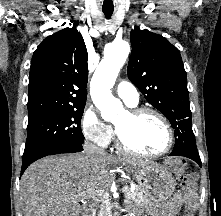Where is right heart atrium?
<instances>
[{"label": "right heart atrium", "mask_w": 221, "mask_h": 216, "mask_svg": "<svg viewBox=\"0 0 221 216\" xmlns=\"http://www.w3.org/2000/svg\"><path fill=\"white\" fill-rule=\"evenodd\" d=\"M80 127L85 139L99 147H106L114 133L112 127L100 117L98 111L92 106L84 109Z\"/></svg>", "instance_id": "obj_1"}]
</instances>
